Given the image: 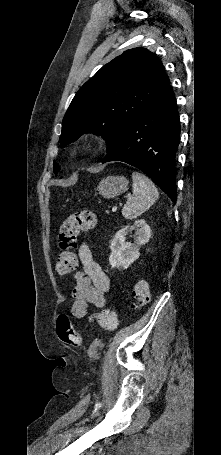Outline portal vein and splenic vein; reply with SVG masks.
<instances>
[{"label":"portal vein and splenic vein","instance_id":"portal-vein-and-splenic-vein-1","mask_svg":"<svg viewBox=\"0 0 221 455\" xmlns=\"http://www.w3.org/2000/svg\"><path fill=\"white\" fill-rule=\"evenodd\" d=\"M117 206L112 207V212H116Z\"/></svg>","mask_w":221,"mask_h":455}]
</instances>
